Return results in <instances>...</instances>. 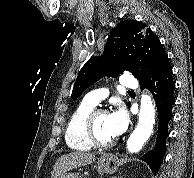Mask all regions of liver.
I'll use <instances>...</instances> for the list:
<instances>
[{
    "instance_id": "1",
    "label": "liver",
    "mask_w": 194,
    "mask_h": 178,
    "mask_svg": "<svg viewBox=\"0 0 194 178\" xmlns=\"http://www.w3.org/2000/svg\"><path fill=\"white\" fill-rule=\"evenodd\" d=\"M95 161V155L85 152H71L62 155L55 163L51 178H58L60 175L72 169L91 164Z\"/></svg>"
}]
</instances>
